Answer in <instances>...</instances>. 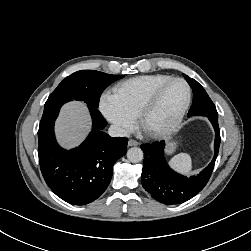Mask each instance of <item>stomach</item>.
Instances as JSON below:
<instances>
[{
	"label": "stomach",
	"instance_id": "obj_1",
	"mask_svg": "<svg viewBox=\"0 0 251 251\" xmlns=\"http://www.w3.org/2000/svg\"><path fill=\"white\" fill-rule=\"evenodd\" d=\"M176 148L175 142H170L168 146V153H171Z\"/></svg>",
	"mask_w": 251,
	"mask_h": 251
}]
</instances>
